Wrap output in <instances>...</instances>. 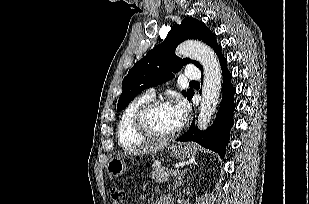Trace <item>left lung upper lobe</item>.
Masks as SVG:
<instances>
[{
    "instance_id": "obj_1",
    "label": "left lung upper lobe",
    "mask_w": 309,
    "mask_h": 204,
    "mask_svg": "<svg viewBox=\"0 0 309 204\" xmlns=\"http://www.w3.org/2000/svg\"><path fill=\"white\" fill-rule=\"evenodd\" d=\"M187 39H199L208 44L216 52L221 46L202 21L187 17L181 25H173L164 42L150 50L146 56L139 60L123 79V92L119 98L117 111L123 110L141 91L157 86L173 78V72L181 70L182 66L193 63L199 69V62L189 58L181 59L174 53L178 44ZM182 94L190 100L194 94L192 90L182 91Z\"/></svg>"
}]
</instances>
